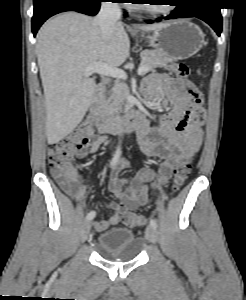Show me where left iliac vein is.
<instances>
[{"instance_id":"4c4485c4","label":"left iliac vein","mask_w":246,"mask_h":300,"mask_svg":"<svg viewBox=\"0 0 246 300\" xmlns=\"http://www.w3.org/2000/svg\"><path fill=\"white\" fill-rule=\"evenodd\" d=\"M145 236L148 241H150L152 243H156L157 239H158V234H157L156 228H154L151 225L147 226L146 230H145Z\"/></svg>"}]
</instances>
